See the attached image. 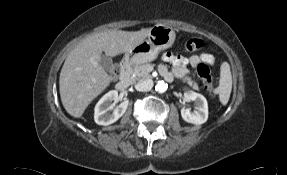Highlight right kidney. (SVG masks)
Listing matches in <instances>:
<instances>
[{
	"label": "right kidney",
	"mask_w": 287,
	"mask_h": 175,
	"mask_svg": "<svg viewBox=\"0 0 287 175\" xmlns=\"http://www.w3.org/2000/svg\"><path fill=\"white\" fill-rule=\"evenodd\" d=\"M117 98L118 92L111 90L98 101L94 110V120L98 125H110L123 116L128 107V100L113 108L112 101Z\"/></svg>",
	"instance_id": "ca27d5eb"
}]
</instances>
